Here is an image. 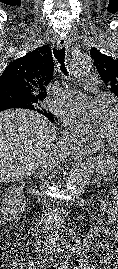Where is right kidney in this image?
<instances>
[{
  "mask_svg": "<svg viewBox=\"0 0 118 269\" xmlns=\"http://www.w3.org/2000/svg\"><path fill=\"white\" fill-rule=\"evenodd\" d=\"M24 184L12 185L5 190L1 202V214L7 221H13L18 214L23 212L26 206V198L23 193Z\"/></svg>",
  "mask_w": 118,
  "mask_h": 269,
  "instance_id": "ca27d5eb",
  "label": "right kidney"
}]
</instances>
